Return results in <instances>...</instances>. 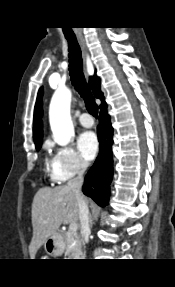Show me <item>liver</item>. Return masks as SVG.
<instances>
[{
	"label": "liver",
	"instance_id": "1",
	"mask_svg": "<svg viewBox=\"0 0 175 287\" xmlns=\"http://www.w3.org/2000/svg\"><path fill=\"white\" fill-rule=\"evenodd\" d=\"M33 237L29 245L31 259L38 249L60 228L61 224L77 223L79 208L72 190L67 186L41 188L32 203Z\"/></svg>",
	"mask_w": 175,
	"mask_h": 287
}]
</instances>
